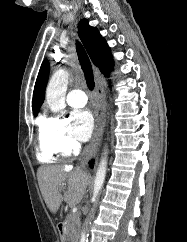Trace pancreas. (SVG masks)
Returning a JSON list of instances; mask_svg holds the SVG:
<instances>
[{
    "label": "pancreas",
    "instance_id": "cf45deb5",
    "mask_svg": "<svg viewBox=\"0 0 187 242\" xmlns=\"http://www.w3.org/2000/svg\"><path fill=\"white\" fill-rule=\"evenodd\" d=\"M80 233V213L71 214L65 221V234L68 242H78Z\"/></svg>",
    "mask_w": 187,
    "mask_h": 242
}]
</instances>
